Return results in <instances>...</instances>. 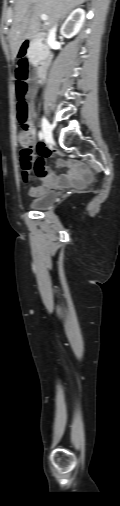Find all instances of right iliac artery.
Masks as SVG:
<instances>
[{
	"label": "right iliac artery",
	"instance_id": "obj_1",
	"mask_svg": "<svg viewBox=\"0 0 120 506\" xmlns=\"http://www.w3.org/2000/svg\"><path fill=\"white\" fill-rule=\"evenodd\" d=\"M43 138H44V135H43V133L40 131V132H39V139H40V141H42V140H43Z\"/></svg>",
	"mask_w": 120,
	"mask_h": 506
}]
</instances>
